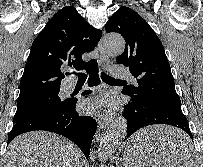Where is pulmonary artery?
I'll return each instance as SVG.
<instances>
[{"label":"pulmonary artery","mask_w":203,"mask_h":167,"mask_svg":"<svg viewBox=\"0 0 203 167\" xmlns=\"http://www.w3.org/2000/svg\"><path fill=\"white\" fill-rule=\"evenodd\" d=\"M112 74L118 78H130L131 80L135 81V78L130 73L129 69L124 66H114L111 69ZM74 85L69 84L67 88L69 90L73 89Z\"/></svg>","instance_id":"1"}]
</instances>
